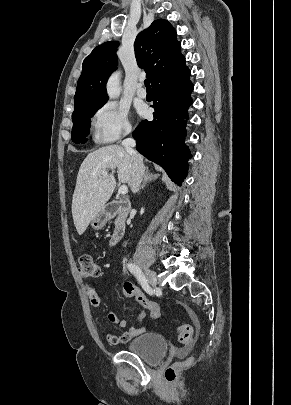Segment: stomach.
Returning a JSON list of instances; mask_svg holds the SVG:
<instances>
[{"instance_id": "0dacf381", "label": "stomach", "mask_w": 291, "mask_h": 405, "mask_svg": "<svg viewBox=\"0 0 291 405\" xmlns=\"http://www.w3.org/2000/svg\"><path fill=\"white\" fill-rule=\"evenodd\" d=\"M110 219V214L103 208L98 212V214L92 219L91 227L95 230L102 229L107 221Z\"/></svg>"}]
</instances>
